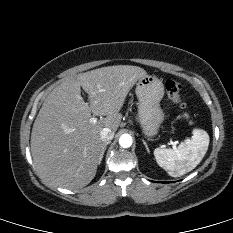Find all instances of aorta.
Here are the masks:
<instances>
[{
    "label": "aorta",
    "instance_id": "762f6f07",
    "mask_svg": "<svg viewBox=\"0 0 233 233\" xmlns=\"http://www.w3.org/2000/svg\"><path fill=\"white\" fill-rule=\"evenodd\" d=\"M132 142V137L129 134H123L119 138V145L123 148H129Z\"/></svg>",
    "mask_w": 233,
    "mask_h": 233
}]
</instances>
